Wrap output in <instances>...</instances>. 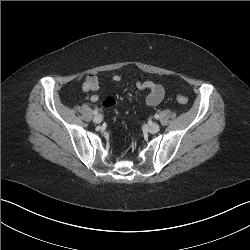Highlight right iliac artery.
I'll list each match as a JSON object with an SVG mask.
<instances>
[{
    "mask_svg": "<svg viewBox=\"0 0 250 250\" xmlns=\"http://www.w3.org/2000/svg\"><path fill=\"white\" fill-rule=\"evenodd\" d=\"M93 113H94L95 115H97V114H98V110L95 109V110L93 111Z\"/></svg>",
    "mask_w": 250,
    "mask_h": 250,
    "instance_id": "1",
    "label": "right iliac artery"
}]
</instances>
